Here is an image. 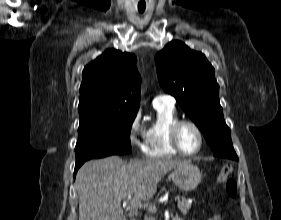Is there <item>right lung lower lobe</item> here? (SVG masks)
Listing matches in <instances>:
<instances>
[{"label": "right lung lower lobe", "instance_id": "1", "mask_svg": "<svg viewBox=\"0 0 281 220\" xmlns=\"http://www.w3.org/2000/svg\"><path fill=\"white\" fill-rule=\"evenodd\" d=\"M83 163H84V162H82V163H76V165H75V170H74V177H75V175H76L77 170L80 168V166H81Z\"/></svg>", "mask_w": 281, "mask_h": 220}]
</instances>
